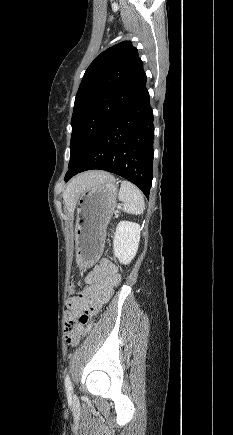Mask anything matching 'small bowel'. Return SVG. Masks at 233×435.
Instances as JSON below:
<instances>
[{
	"mask_svg": "<svg viewBox=\"0 0 233 435\" xmlns=\"http://www.w3.org/2000/svg\"><path fill=\"white\" fill-rule=\"evenodd\" d=\"M86 286L78 296L67 300L65 326H70L74 337L79 338L90 328V320L111 299L120 282L117 267L109 260H100L85 278ZM74 288V286H70Z\"/></svg>",
	"mask_w": 233,
	"mask_h": 435,
	"instance_id": "1",
	"label": "small bowel"
}]
</instances>
